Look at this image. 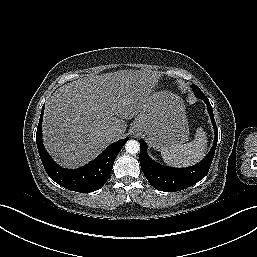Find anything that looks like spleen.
Instances as JSON below:
<instances>
[{"label":"spleen","mask_w":257,"mask_h":257,"mask_svg":"<svg viewBox=\"0 0 257 257\" xmlns=\"http://www.w3.org/2000/svg\"><path fill=\"white\" fill-rule=\"evenodd\" d=\"M207 136L202 128L196 130L195 138L187 144H176L161 150L165 163L175 167H188L203 159L207 150Z\"/></svg>","instance_id":"obj_1"}]
</instances>
